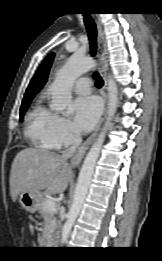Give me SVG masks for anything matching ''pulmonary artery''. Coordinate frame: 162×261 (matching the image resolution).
<instances>
[{"instance_id":"obj_1","label":"pulmonary artery","mask_w":162,"mask_h":261,"mask_svg":"<svg viewBox=\"0 0 162 261\" xmlns=\"http://www.w3.org/2000/svg\"><path fill=\"white\" fill-rule=\"evenodd\" d=\"M91 80L88 77H81L74 82V91L80 95H87L90 92Z\"/></svg>"}]
</instances>
